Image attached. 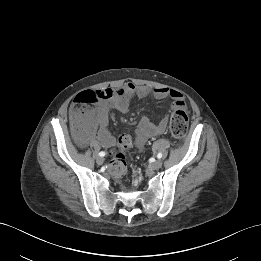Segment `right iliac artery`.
Listing matches in <instances>:
<instances>
[{
	"label": "right iliac artery",
	"instance_id": "82829eb1",
	"mask_svg": "<svg viewBox=\"0 0 261 261\" xmlns=\"http://www.w3.org/2000/svg\"><path fill=\"white\" fill-rule=\"evenodd\" d=\"M99 156H100V157H104V156H105V152L101 151V152L99 153Z\"/></svg>",
	"mask_w": 261,
	"mask_h": 261
}]
</instances>
